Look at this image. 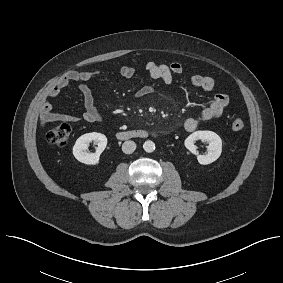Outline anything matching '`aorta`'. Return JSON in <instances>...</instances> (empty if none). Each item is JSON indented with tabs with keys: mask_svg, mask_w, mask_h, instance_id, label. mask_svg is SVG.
<instances>
[{
	"mask_svg": "<svg viewBox=\"0 0 283 283\" xmlns=\"http://www.w3.org/2000/svg\"><path fill=\"white\" fill-rule=\"evenodd\" d=\"M143 149L147 152V153H151L155 150V143L151 140H147L144 142L143 144Z\"/></svg>",
	"mask_w": 283,
	"mask_h": 283,
	"instance_id": "obj_1",
	"label": "aorta"
}]
</instances>
